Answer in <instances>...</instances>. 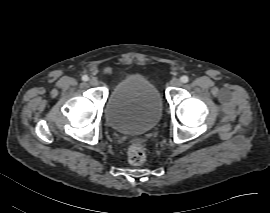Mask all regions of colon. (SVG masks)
Returning <instances> with one entry per match:
<instances>
[{"label":"colon","instance_id":"obj_1","mask_svg":"<svg viewBox=\"0 0 270 213\" xmlns=\"http://www.w3.org/2000/svg\"><path fill=\"white\" fill-rule=\"evenodd\" d=\"M126 157L130 164L139 165L146 159V148L142 142L132 141L126 151Z\"/></svg>","mask_w":270,"mask_h":213}]
</instances>
